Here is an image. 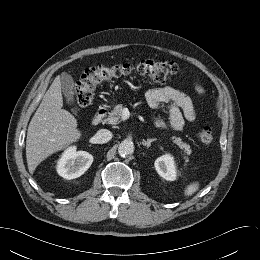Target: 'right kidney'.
<instances>
[{"label": "right kidney", "instance_id": "1", "mask_svg": "<svg viewBox=\"0 0 260 260\" xmlns=\"http://www.w3.org/2000/svg\"><path fill=\"white\" fill-rule=\"evenodd\" d=\"M93 162V156L86 151H76L69 147L57 163V172L65 179L71 180L83 175Z\"/></svg>", "mask_w": 260, "mask_h": 260}]
</instances>
